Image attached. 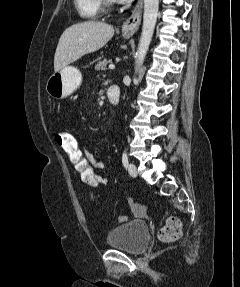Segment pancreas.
Segmentation results:
<instances>
[{
	"instance_id": "obj_1",
	"label": "pancreas",
	"mask_w": 240,
	"mask_h": 287,
	"mask_svg": "<svg viewBox=\"0 0 240 287\" xmlns=\"http://www.w3.org/2000/svg\"><path fill=\"white\" fill-rule=\"evenodd\" d=\"M111 63L110 59H102L95 65V70H106V66Z\"/></svg>"
}]
</instances>
